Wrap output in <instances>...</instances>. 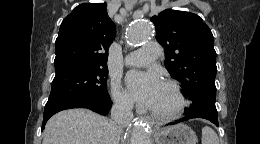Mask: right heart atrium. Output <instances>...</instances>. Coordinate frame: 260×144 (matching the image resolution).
Returning <instances> with one entry per match:
<instances>
[{
	"instance_id": "right-heart-atrium-1",
	"label": "right heart atrium",
	"mask_w": 260,
	"mask_h": 144,
	"mask_svg": "<svg viewBox=\"0 0 260 144\" xmlns=\"http://www.w3.org/2000/svg\"><path fill=\"white\" fill-rule=\"evenodd\" d=\"M112 98L117 106L122 109H130L132 100L129 95L122 89L118 79H114L111 84Z\"/></svg>"
}]
</instances>
